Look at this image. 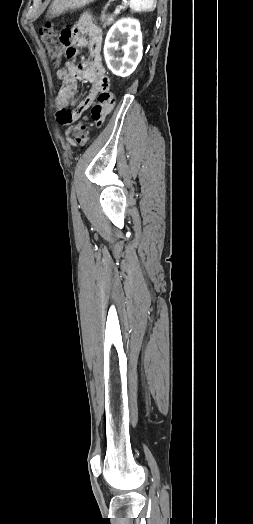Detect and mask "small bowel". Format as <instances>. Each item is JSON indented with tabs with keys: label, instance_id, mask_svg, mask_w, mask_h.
<instances>
[{
	"label": "small bowel",
	"instance_id": "c3829d8e",
	"mask_svg": "<svg viewBox=\"0 0 253 524\" xmlns=\"http://www.w3.org/2000/svg\"><path fill=\"white\" fill-rule=\"evenodd\" d=\"M103 30L93 22L90 15L82 16L77 23L64 25L59 32L58 41L63 51L62 59L66 66L57 72L61 81V87L57 94V104L59 110L67 111L68 120L65 123L64 134L69 133V125L82 113L91 108V117H84L90 120L97 127H104L107 123L106 118L110 115V110L115 108L117 97L114 90L109 86V79L105 74V68L101 56V45ZM79 47L87 48L90 55L88 62L73 64L79 59ZM89 82L92 86L88 95L81 101L78 110L72 113L69 108L76 103L77 81Z\"/></svg>",
	"mask_w": 253,
	"mask_h": 524
}]
</instances>
